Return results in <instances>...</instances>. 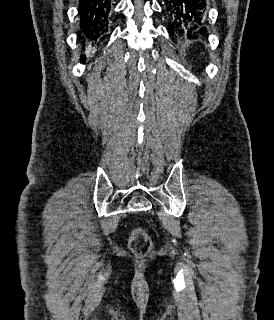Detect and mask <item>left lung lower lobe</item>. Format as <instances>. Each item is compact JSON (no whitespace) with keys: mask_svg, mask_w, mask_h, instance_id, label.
Returning a JSON list of instances; mask_svg holds the SVG:
<instances>
[{"mask_svg":"<svg viewBox=\"0 0 274 320\" xmlns=\"http://www.w3.org/2000/svg\"><path fill=\"white\" fill-rule=\"evenodd\" d=\"M165 7L174 24L189 23L193 29H199V33L206 30L202 26L206 17V0H165Z\"/></svg>","mask_w":274,"mask_h":320,"instance_id":"left-lung-lower-lobe-1","label":"left lung lower lobe"}]
</instances>
